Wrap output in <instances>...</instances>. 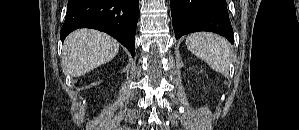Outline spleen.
I'll use <instances>...</instances> for the list:
<instances>
[{
  "mask_svg": "<svg viewBox=\"0 0 299 130\" xmlns=\"http://www.w3.org/2000/svg\"><path fill=\"white\" fill-rule=\"evenodd\" d=\"M186 46L211 69L227 76L232 52L225 38L209 32H197L186 38Z\"/></svg>",
  "mask_w": 299,
  "mask_h": 130,
  "instance_id": "3e777b00",
  "label": "spleen"
}]
</instances>
